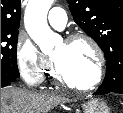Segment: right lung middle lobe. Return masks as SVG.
<instances>
[{
	"label": "right lung middle lobe",
	"instance_id": "dd1d6c3e",
	"mask_svg": "<svg viewBox=\"0 0 123 113\" xmlns=\"http://www.w3.org/2000/svg\"><path fill=\"white\" fill-rule=\"evenodd\" d=\"M18 30H1V81L12 82L19 77L16 58Z\"/></svg>",
	"mask_w": 123,
	"mask_h": 113
}]
</instances>
